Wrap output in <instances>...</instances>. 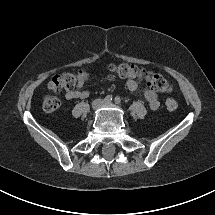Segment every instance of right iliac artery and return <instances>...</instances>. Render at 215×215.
Segmentation results:
<instances>
[{
  "label": "right iliac artery",
  "mask_w": 215,
  "mask_h": 215,
  "mask_svg": "<svg viewBox=\"0 0 215 215\" xmlns=\"http://www.w3.org/2000/svg\"><path fill=\"white\" fill-rule=\"evenodd\" d=\"M112 100V95H107L105 98H104V101H111Z\"/></svg>",
  "instance_id": "right-iliac-artery-1"
}]
</instances>
